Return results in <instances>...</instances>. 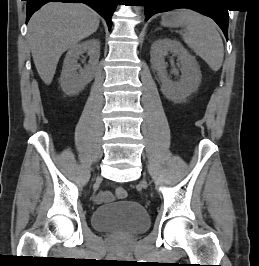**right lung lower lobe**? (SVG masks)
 <instances>
[{"label": "right lung lower lobe", "mask_w": 259, "mask_h": 266, "mask_svg": "<svg viewBox=\"0 0 259 266\" xmlns=\"http://www.w3.org/2000/svg\"><path fill=\"white\" fill-rule=\"evenodd\" d=\"M27 1V17L26 23L31 15L47 2H62V3H84L96 10L102 15L111 28V16L117 6V0H26Z\"/></svg>", "instance_id": "obj_1"}]
</instances>
